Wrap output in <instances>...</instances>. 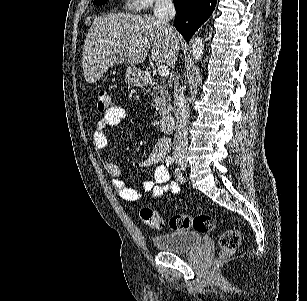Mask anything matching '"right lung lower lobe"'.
<instances>
[{"label": "right lung lower lobe", "mask_w": 307, "mask_h": 301, "mask_svg": "<svg viewBox=\"0 0 307 301\" xmlns=\"http://www.w3.org/2000/svg\"><path fill=\"white\" fill-rule=\"evenodd\" d=\"M177 16L175 28L187 43L193 33L204 23L215 9L216 0H173Z\"/></svg>", "instance_id": "1"}]
</instances>
